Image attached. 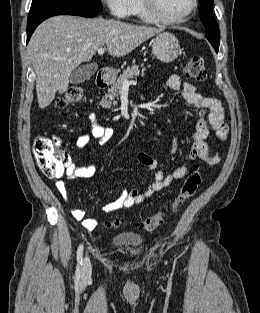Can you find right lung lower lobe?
<instances>
[{"mask_svg":"<svg viewBox=\"0 0 260 313\" xmlns=\"http://www.w3.org/2000/svg\"><path fill=\"white\" fill-rule=\"evenodd\" d=\"M99 11L81 9L76 7H61V6H40L31 8L27 21V42L36 27L45 19L56 15H74L82 17H95Z\"/></svg>","mask_w":260,"mask_h":313,"instance_id":"right-lung-lower-lobe-1","label":"right lung lower lobe"}]
</instances>
